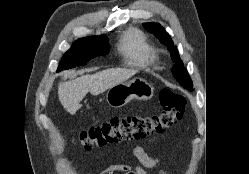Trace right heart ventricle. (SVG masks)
<instances>
[{"label": "right heart ventricle", "instance_id": "right-heart-ventricle-1", "mask_svg": "<svg viewBox=\"0 0 249 174\" xmlns=\"http://www.w3.org/2000/svg\"><path fill=\"white\" fill-rule=\"evenodd\" d=\"M119 50L130 65L146 67L153 62L152 47L144 35L136 29H130L124 33L119 43Z\"/></svg>", "mask_w": 249, "mask_h": 174}]
</instances>
